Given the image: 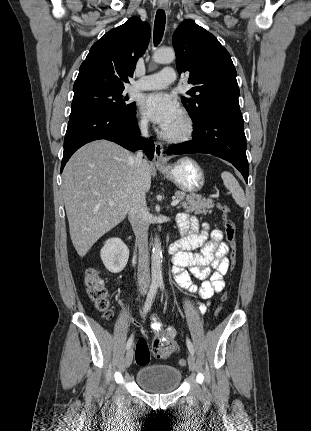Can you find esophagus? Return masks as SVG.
I'll use <instances>...</instances> for the list:
<instances>
[{
  "instance_id": "obj_1",
  "label": "esophagus",
  "mask_w": 311,
  "mask_h": 431,
  "mask_svg": "<svg viewBox=\"0 0 311 431\" xmlns=\"http://www.w3.org/2000/svg\"><path fill=\"white\" fill-rule=\"evenodd\" d=\"M159 8L162 10H167L168 6L166 4H160ZM163 144L160 141L155 142V151H154V158H153V164L156 166H161L167 163V159L163 156Z\"/></svg>"
}]
</instances>
